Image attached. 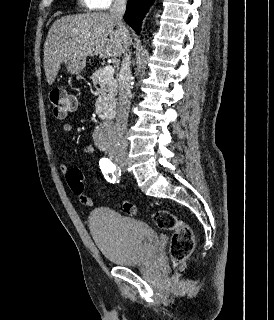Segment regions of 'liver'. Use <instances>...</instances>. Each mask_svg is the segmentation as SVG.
<instances>
[{
    "label": "liver",
    "mask_w": 274,
    "mask_h": 320,
    "mask_svg": "<svg viewBox=\"0 0 274 320\" xmlns=\"http://www.w3.org/2000/svg\"><path fill=\"white\" fill-rule=\"evenodd\" d=\"M108 12L64 16L52 24L44 44V70L49 86L55 82L67 56L73 58H119L124 42Z\"/></svg>",
    "instance_id": "6515ba94"
}]
</instances>
